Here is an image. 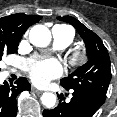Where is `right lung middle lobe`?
I'll use <instances>...</instances> for the list:
<instances>
[{"label":"right lung middle lobe","instance_id":"right-lung-middle-lobe-1","mask_svg":"<svg viewBox=\"0 0 117 117\" xmlns=\"http://www.w3.org/2000/svg\"><path fill=\"white\" fill-rule=\"evenodd\" d=\"M19 43H0V60L6 54L15 53Z\"/></svg>","mask_w":117,"mask_h":117}]
</instances>
